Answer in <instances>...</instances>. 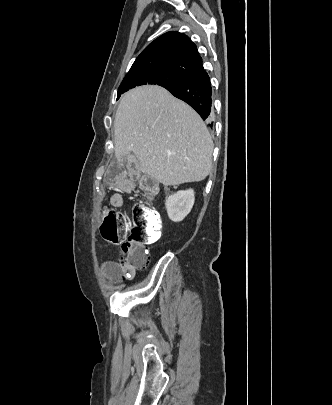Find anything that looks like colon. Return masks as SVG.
Listing matches in <instances>:
<instances>
[{
    "label": "colon",
    "mask_w": 332,
    "mask_h": 405,
    "mask_svg": "<svg viewBox=\"0 0 332 405\" xmlns=\"http://www.w3.org/2000/svg\"><path fill=\"white\" fill-rule=\"evenodd\" d=\"M140 184L149 195L157 192L156 183L147 176L141 177ZM161 230L159 213L144 203L133 204L130 216L115 208L106 209L100 227L101 235L106 241L121 243L120 266L126 273L146 266L148 255L144 244L156 242Z\"/></svg>",
    "instance_id": "1"
}]
</instances>
